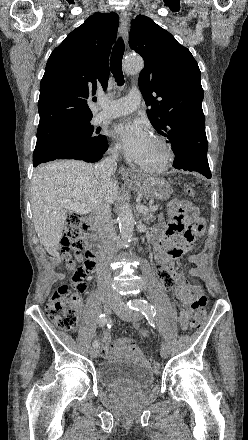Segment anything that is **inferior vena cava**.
Listing matches in <instances>:
<instances>
[{
  "label": "inferior vena cava",
  "mask_w": 248,
  "mask_h": 440,
  "mask_svg": "<svg viewBox=\"0 0 248 440\" xmlns=\"http://www.w3.org/2000/svg\"><path fill=\"white\" fill-rule=\"evenodd\" d=\"M117 169V152L113 151L110 156L97 163L94 167L96 175L103 178H112ZM92 227L97 231L102 249L99 256L100 263V279L110 280L111 273L109 270V263L115 251L116 232L111 221V210L107 203L97 206L89 217ZM117 297L116 293H112Z\"/></svg>",
  "instance_id": "1"
}]
</instances>
